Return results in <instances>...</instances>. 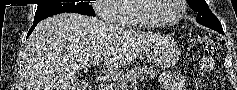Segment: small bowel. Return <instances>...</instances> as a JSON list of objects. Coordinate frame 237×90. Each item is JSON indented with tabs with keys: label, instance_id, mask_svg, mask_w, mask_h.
<instances>
[{
	"label": "small bowel",
	"instance_id": "1",
	"mask_svg": "<svg viewBox=\"0 0 237 90\" xmlns=\"http://www.w3.org/2000/svg\"><path fill=\"white\" fill-rule=\"evenodd\" d=\"M201 70L203 72H210L212 65L210 63H203ZM158 83L161 90H190L186 84L185 77L177 72H162L158 77Z\"/></svg>",
	"mask_w": 237,
	"mask_h": 90
}]
</instances>
